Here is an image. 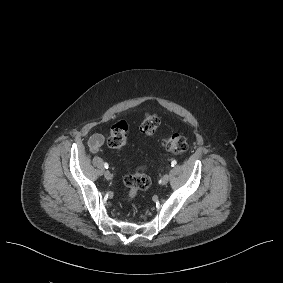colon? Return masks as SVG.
I'll return each mask as SVG.
<instances>
[{
    "mask_svg": "<svg viewBox=\"0 0 283 283\" xmlns=\"http://www.w3.org/2000/svg\"><path fill=\"white\" fill-rule=\"evenodd\" d=\"M160 125V118L155 113H148L144 116L140 131L146 136H154ZM128 125L125 121L116 122L110 130L108 137V145L116 150L125 147L128 139ZM162 146L173 154H182L187 150L186 138L179 133H169L162 137ZM124 183L128 189L126 196L123 198L124 203L131 202L140 191L147 190L151 185L150 177L144 172L143 168H138L134 172L128 174Z\"/></svg>",
    "mask_w": 283,
    "mask_h": 283,
    "instance_id": "1",
    "label": "colon"
}]
</instances>
